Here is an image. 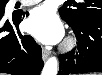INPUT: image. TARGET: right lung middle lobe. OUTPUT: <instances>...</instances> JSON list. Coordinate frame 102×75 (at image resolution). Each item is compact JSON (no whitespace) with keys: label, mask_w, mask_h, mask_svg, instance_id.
I'll return each mask as SVG.
<instances>
[{"label":"right lung middle lobe","mask_w":102,"mask_h":75,"mask_svg":"<svg viewBox=\"0 0 102 75\" xmlns=\"http://www.w3.org/2000/svg\"><path fill=\"white\" fill-rule=\"evenodd\" d=\"M5 5H6V1L1 0L0 1V12L4 13V11H5Z\"/></svg>","instance_id":"obj_1"}]
</instances>
